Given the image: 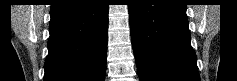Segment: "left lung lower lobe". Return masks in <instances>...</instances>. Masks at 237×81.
Segmentation results:
<instances>
[{"instance_id":"1","label":"left lung lower lobe","mask_w":237,"mask_h":81,"mask_svg":"<svg viewBox=\"0 0 237 81\" xmlns=\"http://www.w3.org/2000/svg\"><path fill=\"white\" fill-rule=\"evenodd\" d=\"M130 31L140 81H200L183 0H133Z\"/></svg>"}]
</instances>
